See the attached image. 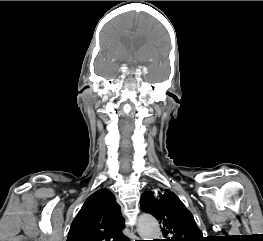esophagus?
Listing matches in <instances>:
<instances>
[{
	"label": "esophagus",
	"mask_w": 263,
	"mask_h": 241,
	"mask_svg": "<svg viewBox=\"0 0 263 241\" xmlns=\"http://www.w3.org/2000/svg\"><path fill=\"white\" fill-rule=\"evenodd\" d=\"M134 241H141V239L138 238V237H136V238L134 239Z\"/></svg>",
	"instance_id": "esophagus-1"
}]
</instances>
